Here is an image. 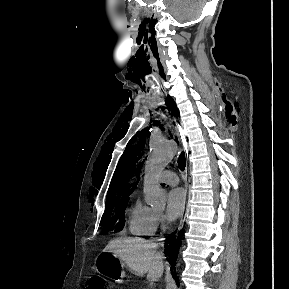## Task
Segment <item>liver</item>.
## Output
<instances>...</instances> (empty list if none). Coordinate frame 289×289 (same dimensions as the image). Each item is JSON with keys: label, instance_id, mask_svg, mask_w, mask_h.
Segmentation results:
<instances>
[{"label": "liver", "instance_id": "1", "mask_svg": "<svg viewBox=\"0 0 289 289\" xmlns=\"http://www.w3.org/2000/svg\"><path fill=\"white\" fill-rule=\"evenodd\" d=\"M114 253L131 271L138 276L147 274V279L157 281L163 274L162 259L156 246L141 238H117L103 250Z\"/></svg>", "mask_w": 289, "mask_h": 289}]
</instances>
